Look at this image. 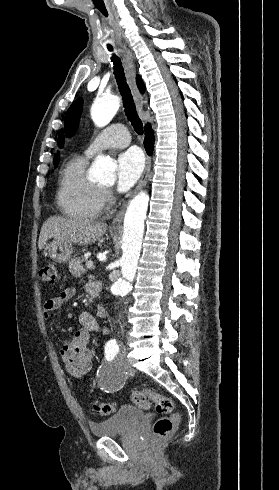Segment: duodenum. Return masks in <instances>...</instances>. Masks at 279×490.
<instances>
[{"instance_id": "obj_1", "label": "duodenum", "mask_w": 279, "mask_h": 490, "mask_svg": "<svg viewBox=\"0 0 279 490\" xmlns=\"http://www.w3.org/2000/svg\"><path fill=\"white\" fill-rule=\"evenodd\" d=\"M101 285L99 283L91 284L89 294L93 297L97 296L100 293Z\"/></svg>"}]
</instances>
